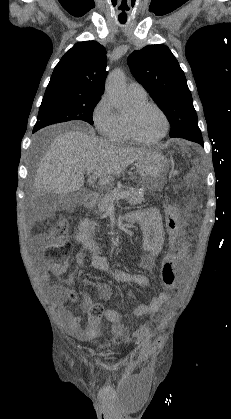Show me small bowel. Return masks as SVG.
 <instances>
[{"label":"small bowel","mask_w":231,"mask_h":419,"mask_svg":"<svg viewBox=\"0 0 231 419\" xmlns=\"http://www.w3.org/2000/svg\"><path fill=\"white\" fill-rule=\"evenodd\" d=\"M133 223L139 224L142 232V246L146 253L144 264L147 268L154 266L155 257L162 250L165 241V232L160 212L156 208H148L146 210L137 211L130 215ZM96 224L89 218L80 221L78 232L75 236L76 241L82 246L83 250L76 254L75 260L77 266H82L86 259L85 252L88 253L89 264L98 270H102L110 274L117 282L133 283L137 285H147L148 278L139 273H130L114 267L111 262L103 256L102 245L96 239ZM177 250L176 263L185 260L189 255V244L186 239H182L175 246ZM85 251V252H84ZM52 270L60 272L56 266H52ZM44 281H49L50 275L47 271L42 272ZM67 294L71 299H75L72 289L65 290L61 287L54 289V303L60 304L61 298ZM100 295L104 299L112 296V291L107 286L100 287ZM170 296L166 292H161L153 296L149 303L139 305L133 312L135 317L153 316L161 312L165 302V297ZM84 311L88 313L89 322L85 329L81 328V319L74 315L70 310H65L66 321L64 326L70 335L85 341L95 340L99 335V320L90 314V309L94 302L89 294L85 293L82 298ZM105 317L112 323H121L123 316L113 309L105 311Z\"/></svg>","instance_id":"1"}]
</instances>
